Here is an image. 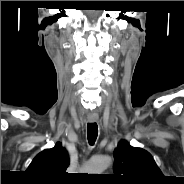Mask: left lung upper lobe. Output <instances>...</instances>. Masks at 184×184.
I'll return each mask as SVG.
<instances>
[{
    "instance_id": "left-lung-upper-lobe-1",
    "label": "left lung upper lobe",
    "mask_w": 184,
    "mask_h": 184,
    "mask_svg": "<svg viewBox=\"0 0 184 184\" xmlns=\"http://www.w3.org/2000/svg\"><path fill=\"white\" fill-rule=\"evenodd\" d=\"M112 180L118 184H162L164 175L150 153L122 140L114 150Z\"/></svg>"
}]
</instances>
